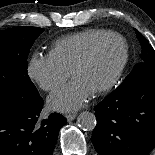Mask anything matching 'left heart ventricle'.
<instances>
[{
    "label": "left heart ventricle",
    "instance_id": "b2bd125f",
    "mask_svg": "<svg viewBox=\"0 0 155 155\" xmlns=\"http://www.w3.org/2000/svg\"><path fill=\"white\" fill-rule=\"evenodd\" d=\"M123 56L122 42L111 40L100 48L94 59L74 79L94 93L113 78Z\"/></svg>",
    "mask_w": 155,
    "mask_h": 155
}]
</instances>
